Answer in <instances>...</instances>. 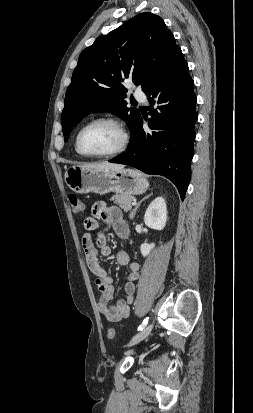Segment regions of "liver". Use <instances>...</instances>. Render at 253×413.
<instances>
[{"label":"liver","mask_w":253,"mask_h":413,"mask_svg":"<svg viewBox=\"0 0 253 413\" xmlns=\"http://www.w3.org/2000/svg\"><path fill=\"white\" fill-rule=\"evenodd\" d=\"M81 167L93 170H119L124 168L123 164H116V163H109V162H101L95 164H85Z\"/></svg>","instance_id":"obj_1"}]
</instances>
